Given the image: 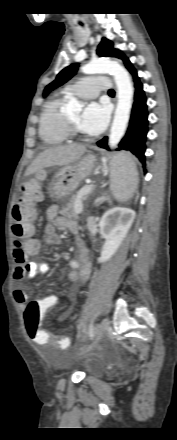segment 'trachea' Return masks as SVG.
<instances>
[{"instance_id": "3493384b", "label": "trachea", "mask_w": 177, "mask_h": 440, "mask_svg": "<svg viewBox=\"0 0 177 440\" xmlns=\"http://www.w3.org/2000/svg\"><path fill=\"white\" fill-rule=\"evenodd\" d=\"M108 93H109V94H114L115 92H114L113 89H110V90L108 91Z\"/></svg>"}]
</instances>
